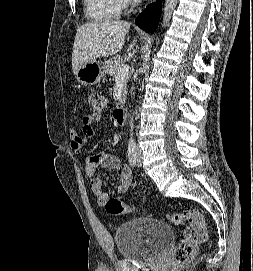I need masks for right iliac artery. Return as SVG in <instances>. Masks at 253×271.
I'll return each mask as SVG.
<instances>
[{
	"mask_svg": "<svg viewBox=\"0 0 253 271\" xmlns=\"http://www.w3.org/2000/svg\"><path fill=\"white\" fill-rule=\"evenodd\" d=\"M128 159L131 166H135L137 162V152L135 142H129L128 145Z\"/></svg>",
	"mask_w": 253,
	"mask_h": 271,
	"instance_id": "right-iliac-artery-1",
	"label": "right iliac artery"
}]
</instances>
